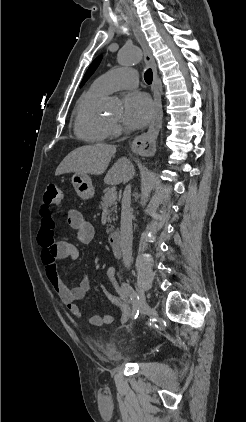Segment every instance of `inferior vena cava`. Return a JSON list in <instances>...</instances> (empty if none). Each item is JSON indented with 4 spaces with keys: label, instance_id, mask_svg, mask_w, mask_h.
Instances as JSON below:
<instances>
[{
    "label": "inferior vena cava",
    "instance_id": "inferior-vena-cava-1",
    "mask_svg": "<svg viewBox=\"0 0 246 422\" xmlns=\"http://www.w3.org/2000/svg\"><path fill=\"white\" fill-rule=\"evenodd\" d=\"M131 175L125 182L131 179ZM131 186L127 185L123 192L122 210H121V250L123 263L129 268L132 261V213H131Z\"/></svg>",
    "mask_w": 246,
    "mask_h": 422
}]
</instances>
